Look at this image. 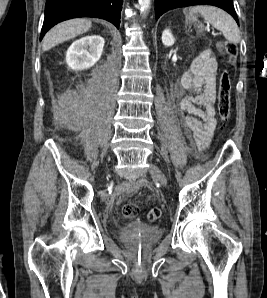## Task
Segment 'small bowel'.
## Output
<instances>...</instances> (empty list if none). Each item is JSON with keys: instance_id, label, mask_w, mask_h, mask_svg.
Returning <instances> with one entry per match:
<instances>
[{"instance_id": "obj_1", "label": "small bowel", "mask_w": 267, "mask_h": 298, "mask_svg": "<svg viewBox=\"0 0 267 298\" xmlns=\"http://www.w3.org/2000/svg\"><path fill=\"white\" fill-rule=\"evenodd\" d=\"M218 64L210 51H203L191 63L190 68L181 78V88L192 91L177 104L181 124L200 152L209 145L216 124V72ZM140 181L134 185L138 189Z\"/></svg>"}]
</instances>
